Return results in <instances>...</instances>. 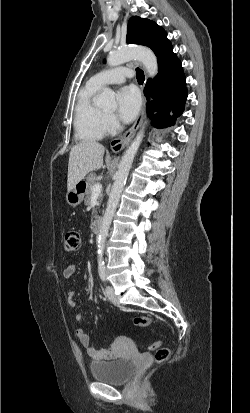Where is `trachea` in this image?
I'll use <instances>...</instances> for the list:
<instances>
[{"label": "trachea", "mask_w": 250, "mask_h": 413, "mask_svg": "<svg viewBox=\"0 0 250 413\" xmlns=\"http://www.w3.org/2000/svg\"><path fill=\"white\" fill-rule=\"evenodd\" d=\"M136 78L139 83H143L145 80L144 73L141 69L136 68Z\"/></svg>", "instance_id": "1"}]
</instances>
